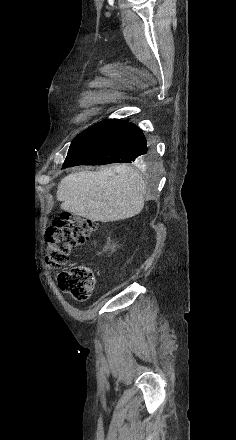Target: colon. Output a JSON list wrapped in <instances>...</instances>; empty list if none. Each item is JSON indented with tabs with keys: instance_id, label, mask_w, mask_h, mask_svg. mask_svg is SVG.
<instances>
[{
	"instance_id": "colon-1",
	"label": "colon",
	"mask_w": 236,
	"mask_h": 440,
	"mask_svg": "<svg viewBox=\"0 0 236 440\" xmlns=\"http://www.w3.org/2000/svg\"><path fill=\"white\" fill-rule=\"evenodd\" d=\"M96 231V223L70 213H63L54 220L47 234L48 255L47 266L51 270L65 266L73 249L88 241ZM60 289L77 301L89 299L95 286L92 269L85 264H73L59 272Z\"/></svg>"
}]
</instances>
